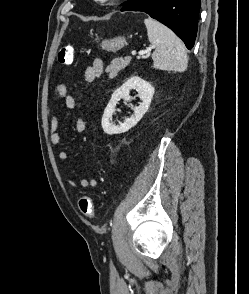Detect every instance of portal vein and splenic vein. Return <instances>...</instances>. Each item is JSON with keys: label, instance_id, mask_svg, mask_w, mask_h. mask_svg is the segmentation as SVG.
<instances>
[{"label": "portal vein and splenic vein", "instance_id": "portal-vein-and-splenic-vein-1", "mask_svg": "<svg viewBox=\"0 0 249 294\" xmlns=\"http://www.w3.org/2000/svg\"><path fill=\"white\" fill-rule=\"evenodd\" d=\"M149 51H150V49L149 50H146V51H140L139 52V57L140 56H143L144 54H148ZM135 55H136V51H132V56H135Z\"/></svg>", "mask_w": 249, "mask_h": 294}]
</instances>
